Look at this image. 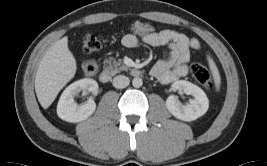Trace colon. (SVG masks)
<instances>
[{
    "instance_id": "5ec220e1",
    "label": "colon",
    "mask_w": 267,
    "mask_h": 166,
    "mask_svg": "<svg viewBox=\"0 0 267 166\" xmlns=\"http://www.w3.org/2000/svg\"><path fill=\"white\" fill-rule=\"evenodd\" d=\"M130 29L136 34H149L154 31V28L146 23L136 22L131 25ZM84 52L92 53L101 49L102 42L97 35L87 34L82 41ZM98 69L95 61L89 60L82 64V72L85 75H94ZM191 75L203 86L208 89L213 88V81L210 72L207 68L199 63H191L189 66Z\"/></svg>"
}]
</instances>
